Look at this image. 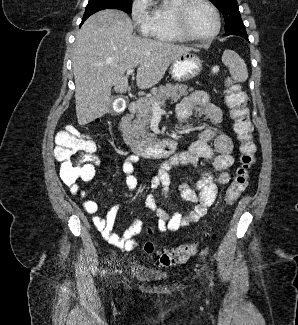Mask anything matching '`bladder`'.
I'll list each match as a JSON object with an SVG mask.
<instances>
[{"mask_svg":"<svg viewBox=\"0 0 298 325\" xmlns=\"http://www.w3.org/2000/svg\"><path fill=\"white\" fill-rule=\"evenodd\" d=\"M130 274L141 281H161L168 277V273L147 266L141 262H133L130 266Z\"/></svg>","mask_w":298,"mask_h":325,"instance_id":"bladder-1","label":"bladder"}]
</instances>
